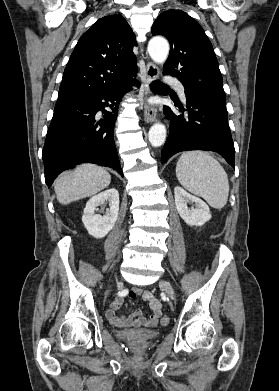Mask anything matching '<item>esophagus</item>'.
<instances>
[{
	"instance_id": "1",
	"label": "esophagus",
	"mask_w": 279,
	"mask_h": 391,
	"mask_svg": "<svg viewBox=\"0 0 279 391\" xmlns=\"http://www.w3.org/2000/svg\"><path fill=\"white\" fill-rule=\"evenodd\" d=\"M159 77V69L154 63H148L146 66V88H145V93L146 97H148L151 92L149 89V84L152 83L153 81L157 80ZM157 118V108L146 104L145 105V110H144V120L147 123H152L156 120Z\"/></svg>"
}]
</instances>
